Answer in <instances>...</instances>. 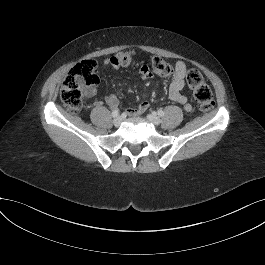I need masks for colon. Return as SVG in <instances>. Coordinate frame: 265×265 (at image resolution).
Wrapping results in <instances>:
<instances>
[{
	"instance_id": "1",
	"label": "colon",
	"mask_w": 265,
	"mask_h": 265,
	"mask_svg": "<svg viewBox=\"0 0 265 265\" xmlns=\"http://www.w3.org/2000/svg\"><path fill=\"white\" fill-rule=\"evenodd\" d=\"M111 59L119 67H128L134 61V53L130 50L122 51ZM150 64L153 72L159 77H167L173 71L171 65L160 57L151 58ZM186 81L200 110L210 111L214 106L213 94L200 71L190 69ZM97 83L96 63L91 59L80 61L69 70L63 80L60 96L71 113L81 110L84 102L83 91Z\"/></svg>"
}]
</instances>
